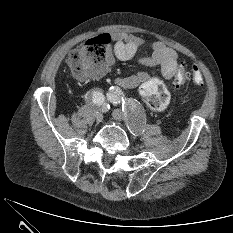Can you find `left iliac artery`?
I'll use <instances>...</instances> for the list:
<instances>
[{"mask_svg": "<svg viewBox=\"0 0 233 233\" xmlns=\"http://www.w3.org/2000/svg\"><path fill=\"white\" fill-rule=\"evenodd\" d=\"M107 99L113 104L121 103L124 108L128 105L132 111H135L137 108L136 103L133 100L129 99L126 101L123 92L116 86L110 88V91L107 93Z\"/></svg>", "mask_w": 233, "mask_h": 233, "instance_id": "44dca946", "label": "left iliac artery"}]
</instances>
